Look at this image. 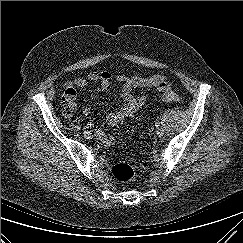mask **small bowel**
Listing matches in <instances>:
<instances>
[{"instance_id": "obj_1", "label": "small bowel", "mask_w": 243, "mask_h": 243, "mask_svg": "<svg viewBox=\"0 0 243 243\" xmlns=\"http://www.w3.org/2000/svg\"><path fill=\"white\" fill-rule=\"evenodd\" d=\"M113 81L122 85L121 97L124 103L117 110L107 114L106 123L112 127L118 126L126 119L132 117L146 103V96H135L133 94L134 89H157L159 91H167L170 89V83L164 75L157 74L150 77L134 75L129 77L123 74L113 75L107 71H95L89 73L87 77H78L74 80L67 81L64 85L65 93L74 101L76 88H83L89 83H95L98 85V91H104ZM82 113L85 116H89L91 110L86 107L82 110ZM96 136L104 144L111 143V139L102 130L98 129Z\"/></svg>"}]
</instances>
